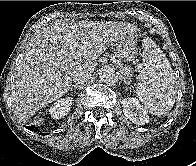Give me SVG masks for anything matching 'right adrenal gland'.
Wrapping results in <instances>:
<instances>
[{
    "label": "right adrenal gland",
    "instance_id": "2a0ac1e0",
    "mask_svg": "<svg viewBox=\"0 0 196 166\" xmlns=\"http://www.w3.org/2000/svg\"><path fill=\"white\" fill-rule=\"evenodd\" d=\"M82 89L83 88V86L82 85H78V84H73L72 86H71V88H70V90L72 91L73 89Z\"/></svg>",
    "mask_w": 196,
    "mask_h": 166
}]
</instances>
